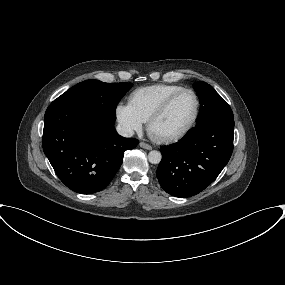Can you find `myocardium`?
I'll use <instances>...</instances> for the list:
<instances>
[{"mask_svg": "<svg viewBox=\"0 0 285 285\" xmlns=\"http://www.w3.org/2000/svg\"><path fill=\"white\" fill-rule=\"evenodd\" d=\"M182 93H190L194 96V99H195V110L188 124L179 132L171 134V135L158 136L154 134L152 130L154 123L164 115V113L168 110L171 103ZM199 111H200V99H199L198 94L192 89L182 88L176 91L175 93L171 94L169 97H167L157 107V109L149 116L147 120V125H146L147 132L152 139L160 143H171V142L178 141L181 138H183L185 135H187L190 132V130L194 127L198 119V116H199Z\"/></svg>", "mask_w": 285, "mask_h": 285, "instance_id": "f54148a6", "label": "myocardium"}]
</instances>
